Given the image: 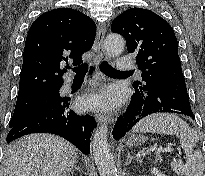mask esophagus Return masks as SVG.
I'll use <instances>...</instances> for the list:
<instances>
[{
  "instance_id": "1",
  "label": "esophagus",
  "mask_w": 205,
  "mask_h": 176,
  "mask_svg": "<svg viewBox=\"0 0 205 176\" xmlns=\"http://www.w3.org/2000/svg\"><path fill=\"white\" fill-rule=\"evenodd\" d=\"M106 33V27L104 23L98 24L97 29V37H96V52L98 56V63L100 64L102 61L107 60L108 56L105 52L103 41ZM95 119L98 123H113L114 119L110 115H106L104 113H97L95 115Z\"/></svg>"
}]
</instances>
